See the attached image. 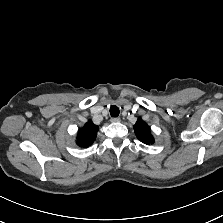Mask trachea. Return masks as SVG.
<instances>
[{
    "label": "trachea",
    "mask_w": 223,
    "mask_h": 223,
    "mask_svg": "<svg viewBox=\"0 0 223 223\" xmlns=\"http://www.w3.org/2000/svg\"><path fill=\"white\" fill-rule=\"evenodd\" d=\"M120 111L119 108L117 106H111L110 108V115L112 117H117L119 115Z\"/></svg>",
    "instance_id": "trachea-1"
}]
</instances>
